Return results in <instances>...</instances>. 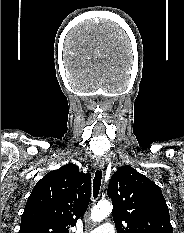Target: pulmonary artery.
I'll list each match as a JSON object with an SVG mask.
<instances>
[{
    "mask_svg": "<svg viewBox=\"0 0 184 233\" xmlns=\"http://www.w3.org/2000/svg\"><path fill=\"white\" fill-rule=\"evenodd\" d=\"M89 233H116V231L113 224L107 222L93 229Z\"/></svg>",
    "mask_w": 184,
    "mask_h": 233,
    "instance_id": "e3ab8cb5",
    "label": "pulmonary artery"
}]
</instances>
